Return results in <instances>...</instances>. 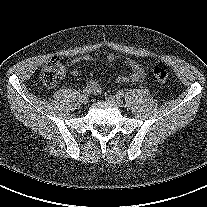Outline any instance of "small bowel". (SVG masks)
Masks as SVG:
<instances>
[{"instance_id":"c3829d8e","label":"small bowel","mask_w":207,"mask_h":207,"mask_svg":"<svg viewBox=\"0 0 207 207\" xmlns=\"http://www.w3.org/2000/svg\"><path fill=\"white\" fill-rule=\"evenodd\" d=\"M115 60H116V57L113 54L107 55L108 62L112 63ZM80 61L93 62L94 57H92L90 55H86L81 58H75V59H72L69 62V64L74 65V64L79 63ZM126 64L131 69V72H132L131 75L130 76H119V77H117L116 82L120 83V84L141 82L145 77V72H144L143 68L141 67V65L138 64L135 60L130 59V58L126 59ZM64 72H65V70L63 67L60 77H63ZM71 74L73 76H77L78 71L73 69V70H71ZM87 88L91 91L90 93H93V94H98L101 91L100 85L94 80H89L87 82Z\"/></svg>"}]
</instances>
